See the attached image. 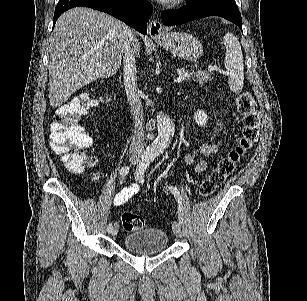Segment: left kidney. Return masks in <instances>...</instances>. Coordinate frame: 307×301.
Here are the masks:
<instances>
[{"label": "left kidney", "instance_id": "5707ae66", "mask_svg": "<svg viewBox=\"0 0 307 301\" xmlns=\"http://www.w3.org/2000/svg\"><path fill=\"white\" fill-rule=\"evenodd\" d=\"M195 122L199 124V126H205L208 120V114H206L205 110H196L193 116Z\"/></svg>", "mask_w": 307, "mask_h": 301}]
</instances>
